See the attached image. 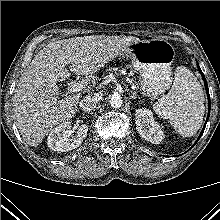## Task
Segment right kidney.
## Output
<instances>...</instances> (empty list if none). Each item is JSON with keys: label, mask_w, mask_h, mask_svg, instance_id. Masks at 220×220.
I'll return each instance as SVG.
<instances>
[{"label": "right kidney", "mask_w": 220, "mask_h": 220, "mask_svg": "<svg viewBox=\"0 0 220 220\" xmlns=\"http://www.w3.org/2000/svg\"><path fill=\"white\" fill-rule=\"evenodd\" d=\"M71 129V123L66 121L55 127L48 135L47 144L48 147L57 152H67L79 147L85 139L88 126L82 124L75 136L69 137Z\"/></svg>", "instance_id": "ca27d5eb"}]
</instances>
